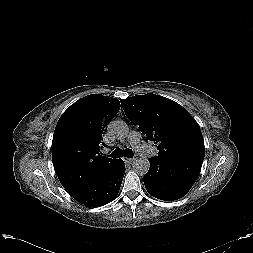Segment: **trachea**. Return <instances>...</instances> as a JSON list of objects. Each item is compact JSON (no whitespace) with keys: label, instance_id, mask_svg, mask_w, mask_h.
Returning a JSON list of instances; mask_svg holds the SVG:
<instances>
[{"label":"trachea","instance_id":"3493384b","mask_svg":"<svg viewBox=\"0 0 253 253\" xmlns=\"http://www.w3.org/2000/svg\"><path fill=\"white\" fill-rule=\"evenodd\" d=\"M123 156L130 158L134 156V153L131 149L121 150L120 148H117L109 155V157L112 158H119Z\"/></svg>","mask_w":253,"mask_h":253}]
</instances>
